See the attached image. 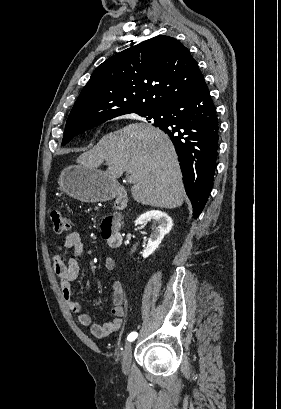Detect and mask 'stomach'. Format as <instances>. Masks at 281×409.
<instances>
[{
	"label": "stomach",
	"mask_w": 281,
	"mask_h": 409,
	"mask_svg": "<svg viewBox=\"0 0 281 409\" xmlns=\"http://www.w3.org/2000/svg\"><path fill=\"white\" fill-rule=\"evenodd\" d=\"M58 184L60 190L82 202L112 200L118 194L119 182L111 180L103 170L84 164H71L62 170Z\"/></svg>",
	"instance_id": "stomach-1"
}]
</instances>
